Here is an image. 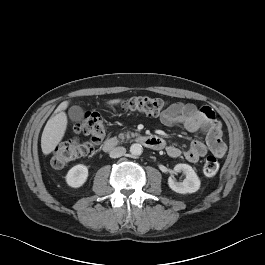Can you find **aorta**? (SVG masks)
<instances>
[{
    "label": "aorta",
    "mask_w": 265,
    "mask_h": 265,
    "mask_svg": "<svg viewBox=\"0 0 265 265\" xmlns=\"http://www.w3.org/2000/svg\"><path fill=\"white\" fill-rule=\"evenodd\" d=\"M143 152L142 145L139 143H134L130 146V153L134 156H139Z\"/></svg>",
    "instance_id": "762f6f07"
}]
</instances>
